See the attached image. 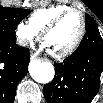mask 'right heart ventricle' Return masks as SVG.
<instances>
[{"mask_svg":"<svg viewBox=\"0 0 103 103\" xmlns=\"http://www.w3.org/2000/svg\"><path fill=\"white\" fill-rule=\"evenodd\" d=\"M71 8L66 4H57L34 11L29 17V24L37 31L41 32L43 28L58 14Z\"/></svg>","mask_w":103,"mask_h":103,"instance_id":"right-heart-ventricle-1","label":"right heart ventricle"}]
</instances>
